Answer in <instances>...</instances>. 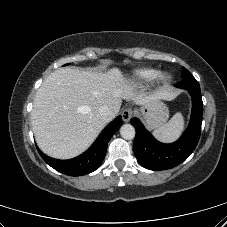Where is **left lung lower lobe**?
Segmentation results:
<instances>
[{
	"mask_svg": "<svg viewBox=\"0 0 227 227\" xmlns=\"http://www.w3.org/2000/svg\"><path fill=\"white\" fill-rule=\"evenodd\" d=\"M175 86L190 93L193 106L189 126L176 142L164 144L157 141L139 119H131L136 130L134 154L140 165L150 170L170 169L179 165L194 151L200 138L203 102L199 83L190 76Z\"/></svg>",
	"mask_w": 227,
	"mask_h": 227,
	"instance_id": "0a47b994",
	"label": "left lung lower lobe"
}]
</instances>
